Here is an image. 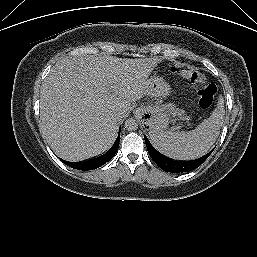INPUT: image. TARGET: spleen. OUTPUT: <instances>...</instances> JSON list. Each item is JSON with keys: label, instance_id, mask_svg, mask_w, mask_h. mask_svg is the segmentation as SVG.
<instances>
[{"label": "spleen", "instance_id": "obj_1", "mask_svg": "<svg viewBox=\"0 0 257 257\" xmlns=\"http://www.w3.org/2000/svg\"><path fill=\"white\" fill-rule=\"evenodd\" d=\"M224 101L220 98L211 116L187 132L150 131L155 149L175 160H192L205 155L219 136L224 121Z\"/></svg>", "mask_w": 257, "mask_h": 257}]
</instances>
